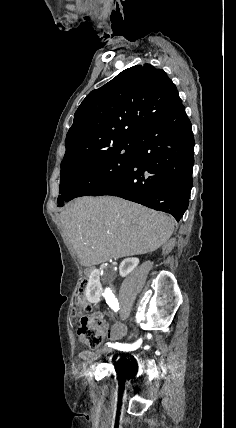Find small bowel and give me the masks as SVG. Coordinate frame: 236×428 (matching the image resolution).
I'll return each instance as SVG.
<instances>
[{
  "mask_svg": "<svg viewBox=\"0 0 236 428\" xmlns=\"http://www.w3.org/2000/svg\"><path fill=\"white\" fill-rule=\"evenodd\" d=\"M125 332H126V328L124 325L115 324L108 330L107 338L119 339L125 335ZM80 357L85 363H89L96 358V355L91 352L84 351L80 354Z\"/></svg>",
  "mask_w": 236,
  "mask_h": 428,
  "instance_id": "1",
  "label": "small bowel"
}]
</instances>
